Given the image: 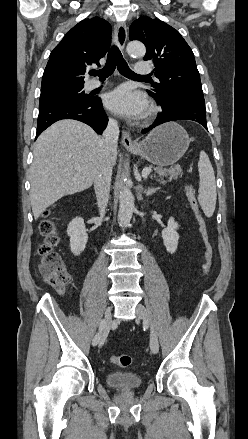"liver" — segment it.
I'll use <instances>...</instances> for the list:
<instances>
[{
    "label": "liver",
    "mask_w": 248,
    "mask_h": 439,
    "mask_svg": "<svg viewBox=\"0 0 248 439\" xmlns=\"http://www.w3.org/2000/svg\"><path fill=\"white\" fill-rule=\"evenodd\" d=\"M30 167V201L35 219L64 196L91 187L105 160L102 139L88 125L61 120L37 139ZM117 150L111 155L112 167Z\"/></svg>",
    "instance_id": "1"
}]
</instances>
